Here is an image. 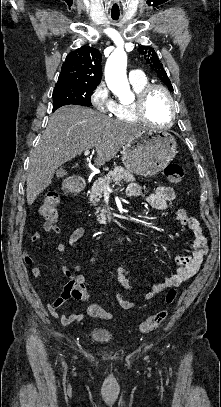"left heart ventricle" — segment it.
<instances>
[{
    "label": "left heart ventricle",
    "instance_id": "b2bd125f",
    "mask_svg": "<svg viewBox=\"0 0 221 407\" xmlns=\"http://www.w3.org/2000/svg\"><path fill=\"white\" fill-rule=\"evenodd\" d=\"M146 112L152 122L159 124H167L169 122L171 106L163 92L155 91L152 93L146 106Z\"/></svg>",
    "mask_w": 221,
    "mask_h": 407
}]
</instances>
